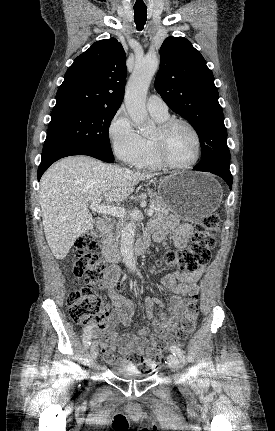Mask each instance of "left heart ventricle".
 I'll return each instance as SVG.
<instances>
[{
  "label": "left heart ventricle",
  "instance_id": "b2bd125f",
  "mask_svg": "<svg viewBox=\"0 0 275 431\" xmlns=\"http://www.w3.org/2000/svg\"><path fill=\"white\" fill-rule=\"evenodd\" d=\"M167 154L177 164H187L196 154V141L192 132L184 125L175 126L167 140Z\"/></svg>",
  "mask_w": 275,
  "mask_h": 431
}]
</instances>
